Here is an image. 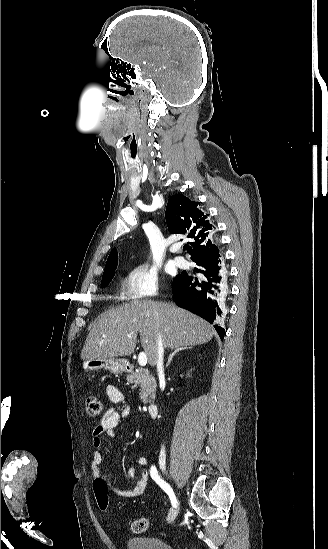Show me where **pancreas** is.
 <instances>
[{
	"instance_id": "pancreas-1",
	"label": "pancreas",
	"mask_w": 328,
	"mask_h": 549,
	"mask_svg": "<svg viewBox=\"0 0 328 549\" xmlns=\"http://www.w3.org/2000/svg\"><path fill=\"white\" fill-rule=\"evenodd\" d=\"M126 377L129 383H136L141 387L140 399L142 403H151L150 399H154L157 387L153 375H150L147 369H136L134 373H130Z\"/></svg>"
}]
</instances>
